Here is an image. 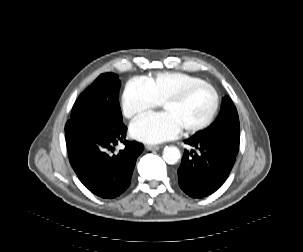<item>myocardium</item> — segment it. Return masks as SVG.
Here are the masks:
<instances>
[{"mask_svg":"<svg viewBox=\"0 0 303 252\" xmlns=\"http://www.w3.org/2000/svg\"><path fill=\"white\" fill-rule=\"evenodd\" d=\"M189 94H190V91H187V92L185 91L176 97H172L163 104V107H168L170 105H181L185 102V100L188 98V96H190ZM210 94H211V100H212V107H211V111H210L208 117L203 122H201L200 124H197L196 126H193L190 128H181V130L184 134H186V135L195 134V133L207 128L211 124V122L214 119L215 114L218 110L219 97H218V94L216 93V91H214L213 89H211Z\"/></svg>","mask_w":303,"mask_h":252,"instance_id":"f54148a6","label":"myocardium"}]
</instances>
